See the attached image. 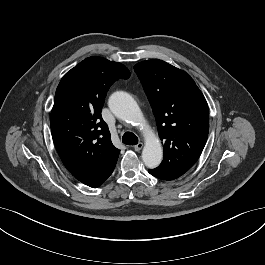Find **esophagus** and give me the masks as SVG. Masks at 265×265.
Listing matches in <instances>:
<instances>
[{
	"mask_svg": "<svg viewBox=\"0 0 265 265\" xmlns=\"http://www.w3.org/2000/svg\"><path fill=\"white\" fill-rule=\"evenodd\" d=\"M143 148V143L140 142L137 145L134 146L135 151H140Z\"/></svg>",
	"mask_w": 265,
	"mask_h": 265,
	"instance_id": "1",
	"label": "esophagus"
}]
</instances>
